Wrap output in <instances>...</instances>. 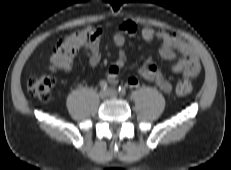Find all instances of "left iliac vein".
Returning <instances> with one entry per match:
<instances>
[{
	"mask_svg": "<svg viewBox=\"0 0 231 170\" xmlns=\"http://www.w3.org/2000/svg\"><path fill=\"white\" fill-rule=\"evenodd\" d=\"M107 91H108L109 96L112 98H115L118 95L117 91L113 88H109Z\"/></svg>",
	"mask_w": 231,
	"mask_h": 170,
	"instance_id": "4c4485c4",
	"label": "left iliac vein"
}]
</instances>
